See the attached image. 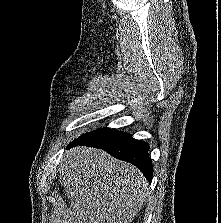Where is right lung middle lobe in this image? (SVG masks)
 <instances>
[{
  "label": "right lung middle lobe",
  "instance_id": "1",
  "mask_svg": "<svg viewBox=\"0 0 221 223\" xmlns=\"http://www.w3.org/2000/svg\"><path fill=\"white\" fill-rule=\"evenodd\" d=\"M99 130H100V129H99ZM96 131H97V130L92 131V132H89V133H86V134H83V135H81L78 139L83 138V137H85V136H87V135H89V134H92V133L96 132Z\"/></svg>",
  "mask_w": 221,
  "mask_h": 223
}]
</instances>
